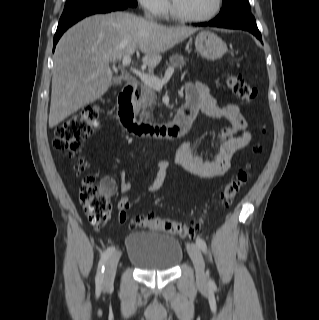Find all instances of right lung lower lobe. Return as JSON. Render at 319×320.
I'll list each match as a JSON object with an SVG mask.
<instances>
[{"mask_svg":"<svg viewBox=\"0 0 319 320\" xmlns=\"http://www.w3.org/2000/svg\"><path fill=\"white\" fill-rule=\"evenodd\" d=\"M130 5L127 4H105V5H99V6H95L92 8H89L87 10L81 11L71 17H69L68 19L59 22L58 27H57V31L55 33L54 36V48L55 49V45L57 44L59 38L62 36V34L73 24H75L76 22H78L79 20L83 19L86 16L92 15V14H96V13H107V12H111V11H117V10H124L127 7H129Z\"/></svg>","mask_w":319,"mask_h":320,"instance_id":"1","label":"right lung lower lobe"}]
</instances>
